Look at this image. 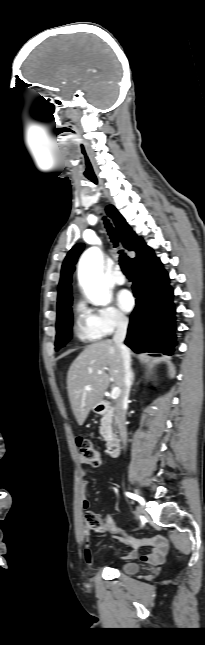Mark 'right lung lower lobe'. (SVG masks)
<instances>
[{
	"instance_id": "obj_1",
	"label": "right lung lower lobe",
	"mask_w": 205,
	"mask_h": 645,
	"mask_svg": "<svg viewBox=\"0 0 205 645\" xmlns=\"http://www.w3.org/2000/svg\"><path fill=\"white\" fill-rule=\"evenodd\" d=\"M136 307L125 344L137 353L172 354L176 345L175 306L168 273L155 255L134 265Z\"/></svg>"
}]
</instances>
